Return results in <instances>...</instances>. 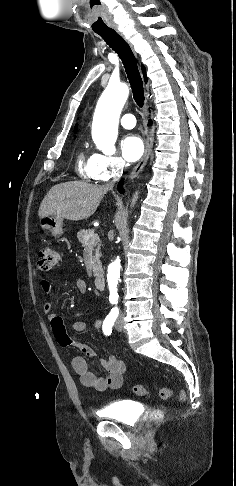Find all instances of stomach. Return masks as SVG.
Here are the masks:
<instances>
[{
	"label": "stomach",
	"instance_id": "obj_1",
	"mask_svg": "<svg viewBox=\"0 0 236 486\" xmlns=\"http://www.w3.org/2000/svg\"><path fill=\"white\" fill-rule=\"evenodd\" d=\"M39 225L43 230L49 231L52 236L58 238L63 234V218L57 216L42 217L39 220Z\"/></svg>",
	"mask_w": 236,
	"mask_h": 486
}]
</instances>
